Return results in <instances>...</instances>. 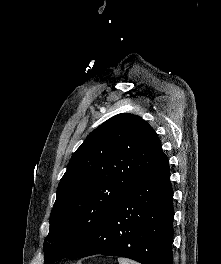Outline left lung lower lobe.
Here are the masks:
<instances>
[{"mask_svg": "<svg viewBox=\"0 0 221 264\" xmlns=\"http://www.w3.org/2000/svg\"><path fill=\"white\" fill-rule=\"evenodd\" d=\"M173 189L164 154L68 258L95 254L172 264Z\"/></svg>", "mask_w": 221, "mask_h": 264, "instance_id": "left-lung-lower-lobe-1", "label": "left lung lower lobe"}]
</instances>
